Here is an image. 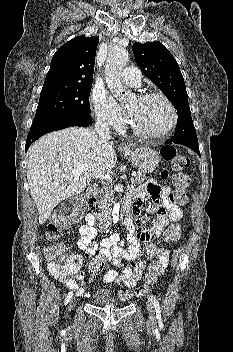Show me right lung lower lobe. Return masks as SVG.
<instances>
[{
	"label": "right lung lower lobe",
	"instance_id": "1",
	"mask_svg": "<svg viewBox=\"0 0 233 352\" xmlns=\"http://www.w3.org/2000/svg\"><path fill=\"white\" fill-rule=\"evenodd\" d=\"M92 122L90 115H69L61 117H53L41 121L33 122L29 134L27 136L25 152L29 146L38 138L52 131L64 129L70 126L86 127Z\"/></svg>",
	"mask_w": 233,
	"mask_h": 352
}]
</instances>
